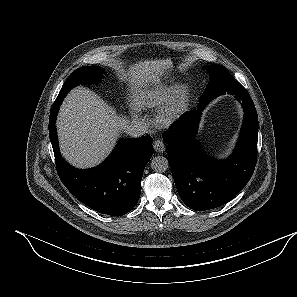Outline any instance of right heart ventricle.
<instances>
[{
	"label": "right heart ventricle",
	"instance_id": "e07e8e85",
	"mask_svg": "<svg viewBox=\"0 0 297 297\" xmlns=\"http://www.w3.org/2000/svg\"><path fill=\"white\" fill-rule=\"evenodd\" d=\"M173 86L146 88L135 96L134 102L138 107L154 108L164 103L173 92Z\"/></svg>",
	"mask_w": 297,
	"mask_h": 297
}]
</instances>
